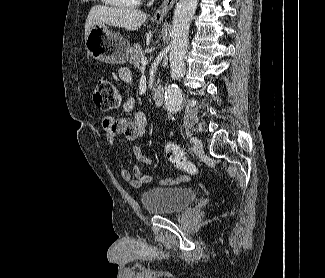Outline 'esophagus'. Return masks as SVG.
<instances>
[{"label":"esophagus","instance_id":"34e87169","mask_svg":"<svg viewBox=\"0 0 325 278\" xmlns=\"http://www.w3.org/2000/svg\"><path fill=\"white\" fill-rule=\"evenodd\" d=\"M176 0H164L160 7L154 13V20L155 21H163L164 18L167 16L169 11L172 9Z\"/></svg>","mask_w":325,"mask_h":278}]
</instances>
